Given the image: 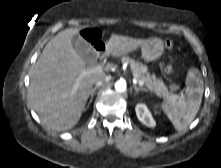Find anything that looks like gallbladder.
Returning a JSON list of instances; mask_svg holds the SVG:
<instances>
[{
    "instance_id": "1",
    "label": "gallbladder",
    "mask_w": 221,
    "mask_h": 168,
    "mask_svg": "<svg viewBox=\"0 0 221 168\" xmlns=\"http://www.w3.org/2000/svg\"><path fill=\"white\" fill-rule=\"evenodd\" d=\"M72 46L86 64H94L97 56L91 45L80 37L72 38Z\"/></svg>"
}]
</instances>
